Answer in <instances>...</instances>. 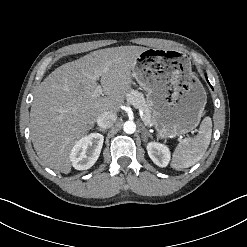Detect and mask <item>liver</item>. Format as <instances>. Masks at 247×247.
<instances>
[{
  "instance_id": "liver-1",
  "label": "liver",
  "mask_w": 247,
  "mask_h": 247,
  "mask_svg": "<svg viewBox=\"0 0 247 247\" xmlns=\"http://www.w3.org/2000/svg\"><path fill=\"white\" fill-rule=\"evenodd\" d=\"M147 49L96 50L63 64L44 79L32 102L30 129L34 149L46 166L64 174L71 172L72 147L92 129L100 114L119 112L131 91L134 63ZM97 70L105 96H94Z\"/></svg>"
}]
</instances>
